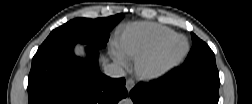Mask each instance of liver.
Wrapping results in <instances>:
<instances>
[{
  "instance_id": "1",
  "label": "liver",
  "mask_w": 252,
  "mask_h": 104,
  "mask_svg": "<svg viewBox=\"0 0 252 104\" xmlns=\"http://www.w3.org/2000/svg\"><path fill=\"white\" fill-rule=\"evenodd\" d=\"M75 53H76L77 55L83 56V55H84V48H83V46H77V47L75 48ZM102 62H103V64H105V63L107 62L106 57H103V56H102Z\"/></svg>"
}]
</instances>
